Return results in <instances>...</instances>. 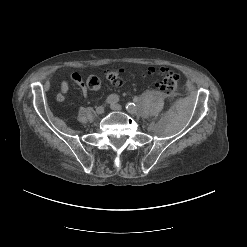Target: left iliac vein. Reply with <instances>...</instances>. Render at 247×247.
Segmentation results:
<instances>
[{
	"mask_svg": "<svg viewBox=\"0 0 247 247\" xmlns=\"http://www.w3.org/2000/svg\"><path fill=\"white\" fill-rule=\"evenodd\" d=\"M110 108L112 109V110H114V111H121L122 110V107H121V105H119V104H111L110 105ZM135 115V114H134Z\"/></svg>",
	"mask_w": 247,
	"mask_h": 247,
	"instance_id": "1",
	"label": "left iliac vein"
}]
</instances>
